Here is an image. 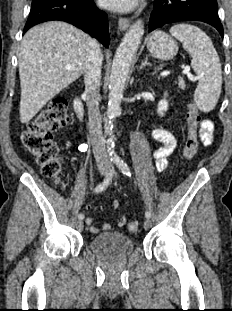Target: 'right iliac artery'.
<instances>
[{
    "instance_id": "right-iliac-artery-1",
    "label": "right iliac artery",
    "mask_w": 232,
    "mask_h": 311,
    "mask_svg": "<svg viewBox=\"0 0 232 311\" xmlns=\"http://www.w3.org/2000/svg\"><path fill=\"white\" fill-rule=\"evenodd\" d=\"M85 149H86V146H85ZM113 168L110 169L109 173L106 175L105 179L103 180L102 183H100L99 185H97V187L95 188V193H100L102 192L103 190H105L111 183L112 181V177H113ZM84 218V214L83 213H80L79 214V219L82 220Z\"/></svg>"
}]
</instances>
